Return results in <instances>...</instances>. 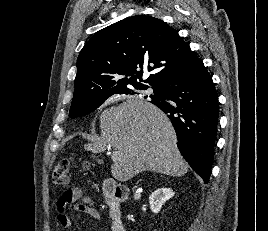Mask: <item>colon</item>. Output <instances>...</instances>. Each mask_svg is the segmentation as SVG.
<instances>
[{"mask_svg":"<svg viewBox=\"0 0 268 231\" xmlns=\"http://www.w3.org/2000/svg\"><path fill=\"white\" fill-rule=\"evenodd\" d=\"M71 161L68 158H64L58 161L52 172V183L56 186H66L69 182Z\"/></svg>","mask_w":268,"mask_h":231,"instance_id":"1","label":"colon"}]
</instances>
